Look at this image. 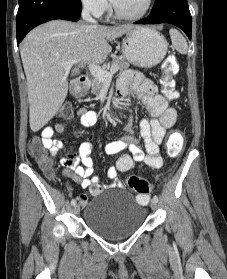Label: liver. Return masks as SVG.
<instances>
[{"label":"liver","mask_w":227,"mask_h":279,"mask_svg":"<svg viewBox=\"0 0 227 279\" xmlns=\"http://www.w3.org/2000/svg\"><path fill=\"white\" fill-rule=\"evenodd\" d=\"M136 26L107 27L53 20L25 37L20 54L27 79L29 123L39 131L57 113L68 92L69 70L61 63L76 59L73 73L86 65L102 64L111 53L110 41Z\"/></svg>","instance_id":"1"}]
</instances>
